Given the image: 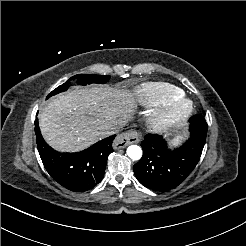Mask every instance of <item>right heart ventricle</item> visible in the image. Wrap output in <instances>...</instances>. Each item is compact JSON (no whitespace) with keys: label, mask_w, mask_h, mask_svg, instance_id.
<instances>
[{"label":"right heart ventricle","mask_w":246,"mask_h":246,"mask_svg":"<svg viewBox=\"0 0 246 246\" xmlns=\"http://www.w3.org/2000/svg\"><path fill=\"white\" fill-rule=\"evenodd\" d=\"M139 103L152 110H161L180 96V90L162 82H145L136 88Z\"/></svg>","instance_id":"right-heart-ventricle-1"}]
</instances>
